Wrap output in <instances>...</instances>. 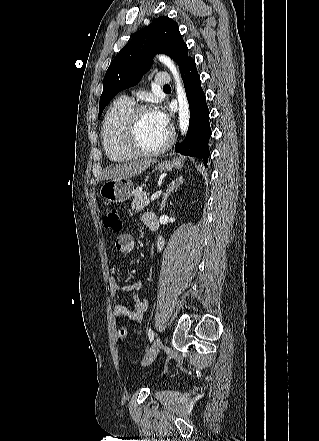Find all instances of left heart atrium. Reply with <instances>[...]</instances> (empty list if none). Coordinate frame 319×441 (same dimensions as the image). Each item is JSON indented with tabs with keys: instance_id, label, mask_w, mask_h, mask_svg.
Wrapping results in <instances>:
<instances>
[{
	"instance_id": "39dd6f15",
	"label": "left heart atrium",
	"mask_w": 319,
	"mask_h": 441,
	"mask_svg": "<svg viewBox=\"0 0 319 441\" xmlns=\"http://www.w3.org/2000/svg\"><path fill=\"white\" fill-rule=\"evenodd\" d=\"M157 121L164 127L168 128V118L162 110H156L153 112Z\"/></svg>"
}]
</instances>
